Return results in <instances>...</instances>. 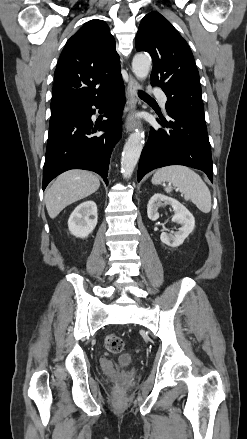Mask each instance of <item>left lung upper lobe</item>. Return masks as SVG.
Returning a JSON list of instances; mask_svg holds the SVG:
<instances>
[{"mask_svg":"<svg viewBox=\"0 0 247 439\" xmlns=\"http://www.w3.org/2000/svg\"><path fill=\"white\" fill-rule=\"evenodd\" d=\"M136 49L148 52L153 59L151 84L166 94L167 112L204 118L199 73L191 49L160 13L153 11L142 19Z\"/></svg>","mask_w":247,"mask_h":439,"instance_id":"1","label":"left lung upper lobe"}]
</instances>
